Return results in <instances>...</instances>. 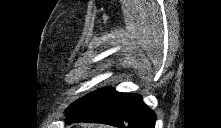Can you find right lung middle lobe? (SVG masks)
I'll return each mask as SVG.
<instances>
[{
  "label": "right lung middle lobe",
  "mask_w": 221,
  "mask_h": 128,
  "mask_svg": "<svg viewBox=\"0 0 221 128\" xmlns=\"http://www.w3.org/2000/svg\"><path fill=\"white\" fill-rule=\"evenodd\" d=\"M113 91H114V89H112L110 87L96 90V91L88 94L87 96H85L83 98H80L79 100L75 101L72 105H70L68 107L66 112L67 113H72V112L76 111L79 108L90 105V104L104 98L105 96H107L108 94H110Z\"/></svg>",
  "instance_id": "obj_1"
}]
</instances>
